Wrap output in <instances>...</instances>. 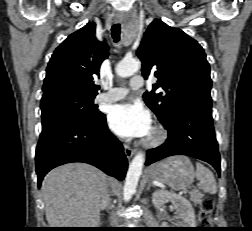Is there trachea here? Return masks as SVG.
Returning <instances> with one entry per match:
<instances>
[{"mask_svg": "<svg viewBox=\"0 0 252 231\" xmlns=\"http://www.w3.org/2000/svg\"><path fill=\"white\" fill-rule=\"evenodd\" d=\"M120 33H121V26L120 24H114L111 28V35L114 39V42H119L120 40Z\"/></svg>", "mask_w": 252, "mask_h": 231, "instance_id": "1", "label": "trachea"}]
</instances>
